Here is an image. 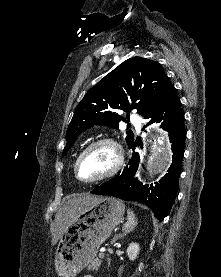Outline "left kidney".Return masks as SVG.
Returning <instances> with one entry per match:
<instances>
[{
  "label": "left kidney",
  "instance_id": "left-kidney-1",
  "mask_svg": "<svg viewBox=\"0 0 221 277\" xmlns=\"http://www.w3.org/2000/svg\"><path fill=\"white\" fill-rule=\"evenodd\" d=\"M140 247L138 243H130L127 248V255L131 261H134L137 258Z\"/></svg>",
  "mask_w": 221,
  "mask_h": 277
}]
</instances>
